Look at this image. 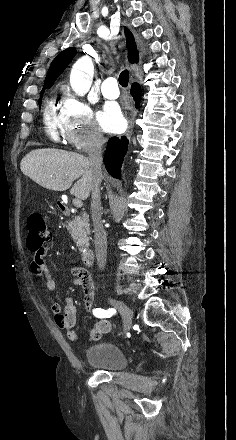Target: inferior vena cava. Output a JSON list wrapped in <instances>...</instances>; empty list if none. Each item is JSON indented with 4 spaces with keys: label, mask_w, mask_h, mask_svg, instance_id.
I'll return each mask as SVG.
<instances>
[{
    "label": "inferior vena cava",
    "mask_w": 236,
    "mask_h": 440,
    "mask_svg": "<svg viewBox=\"0 0 236 440\" xmlns=\"http://www.w3.org/2000/svg\"><path fill=\"white\" fill-rule=\"evenodd\" d=\"M103 136L94 132L88 149L89 162L93 174V187L91 195V216L94 227V244L97 264L104 269L107 259V238L101 219L100 185L102 181V146Z\"/></svg>",
    "instance_id": "inferior-vena-cava-1"
}]
</instances>
